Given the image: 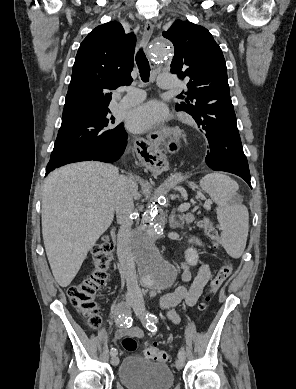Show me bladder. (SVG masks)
<instances>
[{
	"label": "bladder",
	"mask_w": 296,
	"mask_h": 389,
	"mask_svg": "<svg viewBox=\"0 0 296 389\" xmlns=\"http://www.w3.org/2000/svg\"><path fill=\"white\" fill-rule=\"evenodd\" d=\"M118 379L127 389H171L174 375L164 363L127 355L118 368Z\"/></svg>",
	"instance_id": "1"
}]
</instances>
